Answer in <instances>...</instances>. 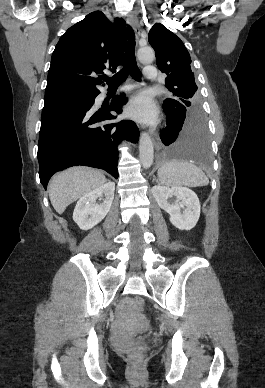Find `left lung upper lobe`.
Returning a JSON list of instances; mask_svg holds the SVG:
<instances>
[{
	"mask_svg": "<svg viewBox=\"0 0 265 388\" xmlns=\"http://www.w3.org/2000/svg\"><path fill=\"white\" fill-rule=\"evenodd\" d=\"M148 40L156 55L158 68L167 75L165 84L173 98L188 109L201 110V100L194 73L191 70V58L183 42L164 25L156 23L149 31Z\"/></svg>",
	"mask_w": 265,
	"mask_h": 388,
	"instance_id": "5c2ea615",
	"label": "left lung upper lobe"
}]
</instances>
